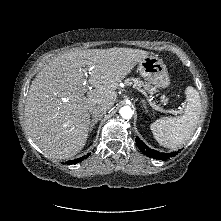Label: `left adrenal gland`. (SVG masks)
<instances>
[{
    "mask_svg": "<svg viewBox=\"0 0 221 221\" xmlns=\"http://www.w3.org/2000/svg\"><path fill=\"white\" fill-rule=\"evenodd\" d=\"M142 104H143V107H144L145 111H146V112H148V110H147V107H146V105H145V101H144V100H142Z\"/></svg>",
    "mask_w": 221,
    "mask_h": 221,
    "instance_id": "1",
    "label": "left adrenal gland"
}]
</instances>
